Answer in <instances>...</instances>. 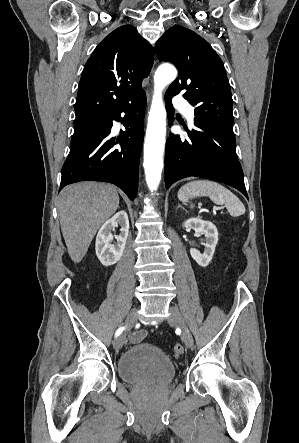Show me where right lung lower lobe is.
<instances>
[{"label":"right lung lower lobe","mask_w":299,"mask_h":443,"mask_svg":"<svg viewBox=\"0 0 299 443\" xmlns=\"http://www.w3.org/2000/svg\"><path fill=\"white\" fill-rule=\"evenodd\" d=\"M146 94L99 117L101 129L73 146L62 167L61 188L79 181H103L121 188L131 200L138 189L139 160L143 143ZM124 113V117L121 114ZM113 121L126 131L110 135ZM120 145V147L118 146Z\"/></svg>","instance_id":"obj_1"}]
</instances>
